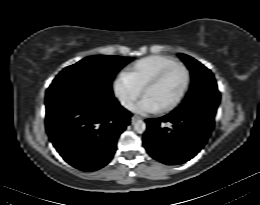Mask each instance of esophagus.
Segmentation results:
<instances>
[{
  "label": "esophagus",
  "instance_id": "34e87169",
  "mask_svg": "<svg viewBox=\"0 0 260 205\" xmlns=\"http://www.w3.org/2000/svg\"><path fill=\"white\" fill-rule=\"evenodd\" d=\"M139 119H141L140 116H138V115H133L132 118H131V121H132V123H134V122H136V121L139 120Z\"/></svg>",
  "mask_w": 260,
  "mask_h": 205
}]
</instances>
